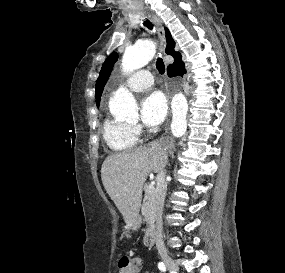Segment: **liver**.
Wrapping results in <instances>:
<instances>
[{
    "label": "liver",
    "mask_w": 285,
    "mask_h": 273,
    "mask_svg": "<svg viewBox=\"0 0 285 273\" xmlns=\"http://www.w3.org/2000/svg\"><path fill=\"white\" fill-rule=\"evenodd\" d=\"M168 156L159 142L109 155L101 168L103 186L126 224L139 219L143 185L150 172L159 173Z\"/></svg>",
    "instance_id": "obj_1"
}]
</instances>
